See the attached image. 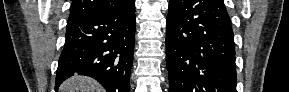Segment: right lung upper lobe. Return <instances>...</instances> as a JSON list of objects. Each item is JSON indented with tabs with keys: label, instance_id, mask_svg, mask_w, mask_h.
<instances>
[{
	"label": "right lung upper lobe",
	"instance_id": "1",
	"mask_svg": "<svg viewBox=\"0 0 289 92\" xmlns=\"http://www.w3.org/2000/svg\"><path fill=\"white\" fill-rule=\"evenodd\" d=\"M126 1L127 0H73L68 21L77 17L112 9Z\"/></svg>",
	"mask_w": 289,
	"mask_h": 92
}]
</instances>
